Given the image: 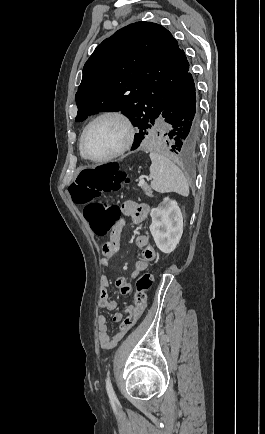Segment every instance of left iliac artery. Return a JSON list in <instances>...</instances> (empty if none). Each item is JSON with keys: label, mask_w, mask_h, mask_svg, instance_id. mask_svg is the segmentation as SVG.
Returning <instances> with one entry per match:
<instances>
[{"label": "left iliac artery", "mask_w": 265, "mask_h": 434, "mask_svg": "<svg viewBox=\"0 0 265 434\" xmlns=\"http://www.w3.org/2000/svg\"><path fill=\"white\" fill-rule=\"evenodd\" d=\"M106 390H107V393H108L110 400L115 401L116 395H115V392L113 390L112 383H111L109 376L106 379Z\"/></svg>", "instance_id": "44dca946"}]
</instances>
